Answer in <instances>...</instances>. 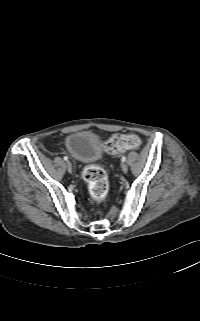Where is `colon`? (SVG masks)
<instances>
[{
    "label": "colon",
    "instance_id": "5ec220e1",
    "mask_svg": "<svg viewBox=\"0 0 200 321\" xmlns=\"http://www.w3.org/2000/svg\"><path fill=\"white\" fill-rule=\"evenodd\" d=\"M141 144L135 134H117L112 136L105 145V151L110 155H119L125 151L137 149ZM89 193L96 202H103L109 192V182L105 171L96 165L87 166L83 171Z\"/></svg>",
    "mask_w": 200,
    "mask_h": 321
}]
</instances>
